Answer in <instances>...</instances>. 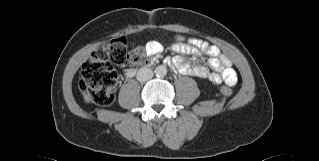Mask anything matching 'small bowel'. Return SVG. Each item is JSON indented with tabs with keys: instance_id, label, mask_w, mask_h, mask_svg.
Returning a JSON list of instances; mask_svg holds the SVG:
<instances>
[{
	"instance_id": "small-bowel-1",
	"label": "small bowel",
	"mask_w": 319,
	"mask_h": 161,
	"mask_svg": "<svg viewBox=\"0 0 319 161\" xmlns=\"http://www.w3.org/2000/svg\"><path fill=\"white\" fill-rule=\"evenodd\" d=\"M174 43L171 45V50L178 55L172 59L174 69L184 75H190L198 78H207L215 84L225 82L228 85H233L237 80V74L232 67L231 61L223 56L217 46L210 45L208 42L198 38H189L185 40L181 34L173 35ZM158 46V50L154 51V47ZM150 54L159 56L163 49V44L160 41H149L146 45ZM205 54L210 57L209 66L214 69L211 72L203 64L194 61L192 64L184 61L183 55H198Z\"/></svg>"
}]
</instances>
